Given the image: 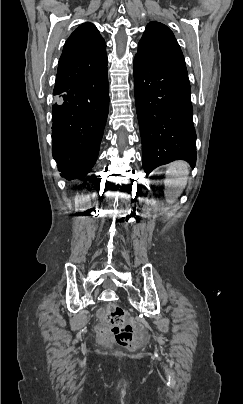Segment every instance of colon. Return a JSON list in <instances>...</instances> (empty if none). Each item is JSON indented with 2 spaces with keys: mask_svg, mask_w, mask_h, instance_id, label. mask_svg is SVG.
Returning <instances> with one entry per match:
<instances>
[{
  "mask_svg": "<svg viewBox=\"0 0 243 404\" xmlns=\"http://www.w3.org/2000/svg\"><path fill=\"white\" fill-rule=\"evenodd\" d=\"M127 316V312L119 305L111 304L107 307L106 317L113 328L101 326L98 329L105 345L118 344L129 349H135L141 345L142 337L134 327L120 326Z\"/></svg>",
  "mask_w": 243,
  "mask_h": 404,
  "instance_id": "5ec220e1",
  "label": "colon"
}]
</instances>
